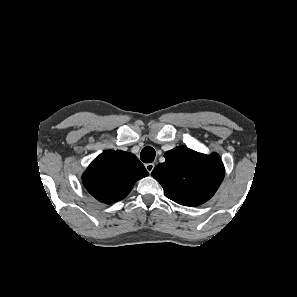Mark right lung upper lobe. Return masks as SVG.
<instances>
[{
    "label": "right lung upper lobe",
    "mask_w": 297,
    "mask_h": 297,
    "mask_svg": "<svg viewBox=\"0 0 297 297\" xmlns=\"http://www.w3.org/2000/svg\"><path fill=\"white\" fill-rule=\"evenodd\" d=\"M145 176L148 172L134 154L108 150L91 162L82 180L93 197L112 204L126 197L135 182Z\"/></svg>",
    "instance_id": "obj_1"
}]
</instances>
